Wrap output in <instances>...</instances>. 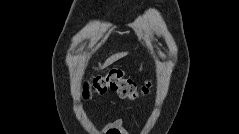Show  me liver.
Masks as SVG:
<instances>
[{"mask_svg": "<svg viewBox=\"0 0 239 134\" xmlns=\"http://www.w3.org/2000/svg\"><path fill=\"white\" fill-rule=\"evenodd\" d=\"M126 54H127L126 52H124V53L122 52V53H117V54H115V55H112L111 57H109V58L105 61V63H104L102 66H100V68L103 69V68H105V67L111 65L113 62H115V61H117L118 59L124 57Z\"/></svg>", "mask_w": 239, "mask_h": 134, "instance_id": "liver-1", "label": "liver"}]
</instances>
